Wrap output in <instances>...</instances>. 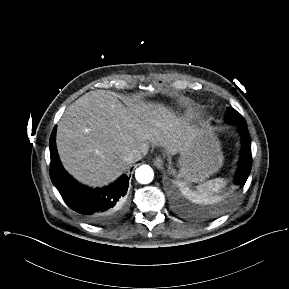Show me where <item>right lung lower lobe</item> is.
Returning <instances> with one entry per match:
<instances>
[{
  "label": "right lung lower lobe",
  "instance_id": "98d812e1",
  "mask_svg": "<svg viewBox=\"0 0 289 289\" xmlns=\"http://www.w3.org/2000/svg\"><path fill=\"white\" fill-rule=\"evenodd\" d=\"M56 126L50 142V177L66 204L86 222L104 224L116 220L123 212L129 178L122 175L114 184L93 189L75 181L63 169L55 142Z\"/></svg>",
  "mask_w": 289,
  "mask_h": 289
}]
</instances>
